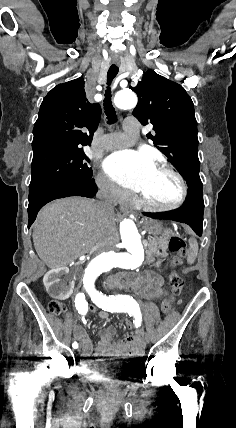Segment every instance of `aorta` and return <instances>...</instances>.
Here are the masks:
<instances>
[{"instance_id": "762f6f07", "label": "aorta", "mask_w": 236, "mask_h": 428, "mask_svg": "<svg viewBox=\"0 0 236 428\" xmlns=\"http://www.w3.org/2000/svg\"><path fill=\"white\" fill-rule=\"evenodd\" d=\"M114 104L119 109L134 108L137 104V96L131 90L119 91L114 97ZM120 235L125 252L106 251L92 259L81 278L84 293L95 291L99 276L112 268L136 269L143 263L145 248L133 220L125 219L120 223Z\"/></svg>"}]
</instances>
